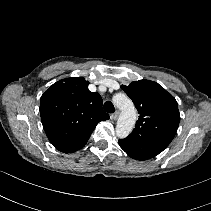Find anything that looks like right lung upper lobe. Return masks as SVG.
Returning a JSON list of instances; mask_svg holds the SVG:
<instances>
[{"label":"right lung upper lobe","instance_id":"cb5924a9","mask_svg":"<svg viewBox=\"0 0 211 211\" xmlns=\"http://www.w3.org/2000/svg\"><path fill=\"white\" fill-rule=\"evenodd\" d=\"M83 77L62 79L42 96L40 115L52 145L63 153L81 149L95 126L109 119L98 93L90 92Z\"/></svg>","mask_w":211,"mask_h":211}]
</instances>
